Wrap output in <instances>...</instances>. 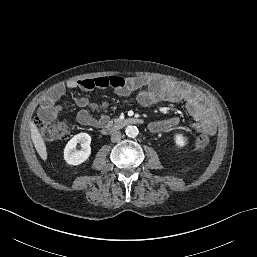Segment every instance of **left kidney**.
I'll return each mask as SVG.
<instances>
[{
  "mask_svg": "<svg viewBox=\"0 0 257 257\" xmlns=\"http://www.w3.org/2000/svg\"><path fill=\"white\" fill-rule=\"evenodd\" d=\"M174 141L178 147H184L187 144V138L183 134H176L174 136Z\"/></svg>",
  "mask_w": 257,
  "mask_h": 257,
  "instance_id": "left-kidney-1",
  "label": "left kidney"
}]
</instances>
